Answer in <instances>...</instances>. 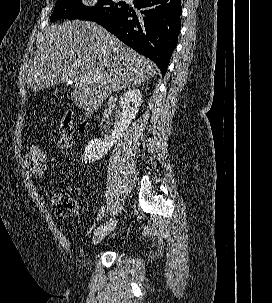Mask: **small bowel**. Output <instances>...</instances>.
Segmentation results:
<instances>
[{"label":"small bowel","mask_w":272,"mask_h":303,"mask_svg":"<svg viewBox=\"0 0 272 303\" xmlns=\"http://www.w3.org/2000/svg\"><path fill=\"white\" fill-rule=\"evenodd\" d=\"M25 168H26V171L28 172V174L32 177H35V178H44L47 174H38L36 173L32 166H31V162H30V154L28 152V154L25 156Z\"/></svg>","instance_id":"1"}]
</instances>
